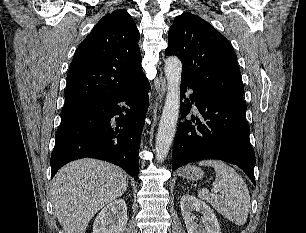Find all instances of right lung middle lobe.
Masks as SVG:
<instances>
[{
	"label": "right lung middle lobe",
	"mask_w": 306,
	"mask_h": 233,
	"mask_svg": "<svg viewBox=\"0 0 306 233\" xmlns=\"http://www.w3.org/2000/svg\"><path fill=\"white\" fill-rule=\"evenodd\" d=\"M79 107H83V106H75V107H67V108H63L61 113H64L66 111H69V110H73V109H76V108H79Z\"/></svg>",
	"instance_id": "1"
}]
</instances>
